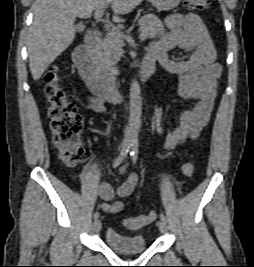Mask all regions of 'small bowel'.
I'll return each instance as SVG.
<instances>
[{"mask_svg":"<svg viewBox=\"0 0 254 267\" xmlns=\"http://www.w3.org/2000/svg\"><path fill=\"white\" fill-rule=\"evenodd\" d=\"M168 32L153 42L147 52L148 57L158 61L170 76L177 77L178 93L182 98L194 99L191 110L182 112L175 127L169 132L165 146L173 149L187 139H195L209 122L216 97V82L221 75V65L216 62V49L210 34L201 18L194 13H178L167 17ZM179 47L191 52L188 60H173L168 51ZM91 89V88H90ZM92 91V90H91ZM87 108L94 112H105V101L97 96L87 98ZM154 124L158 133L163 131L162 110L158 108L154 115ZM126 167L119 171L123 173ZM138 183V175L131 173L118 188L121 198L128 197ZM98 196L105 202L101 210L107 213H119L126 202L114 198L112 186L106 182L94 185Z\"/></svg>","mask_w":254,"mask_h":267,"instance_id":"c3829d8e","label":"small bowel"}]
</instances>
